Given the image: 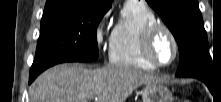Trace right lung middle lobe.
<instances>
[{
    "label": "right lung middle lobe",
    "mask_w": 221,
    "mask_h": 102,
    "mask_svg": "<svg viewBox=\"0 0 221 102\" xmlns=\"http://www.w3.org/2000/svg\"><path fill=\"white\" fill-rule=\"evenodd\" d=\"M109 9L77 5L44 11L30 76L62 62L96 60L97 27Z\"/></svg>",
    "instance_id": "1"
}]
</instances>
